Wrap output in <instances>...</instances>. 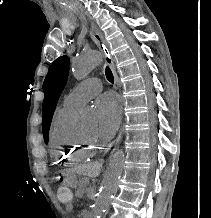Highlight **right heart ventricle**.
I'll list each match as a JSON object with an SVG mask.
<instances>
[{
  "instance_id": "1",
  "label": "right heart ventricle",
  "mask_w": 211,
  "mask_h": 218,
  "mask_svg": "<svg viewBox=\"0 0 211 218\" xmlns=\"http://www.w3.org/2000/svg\"><path fill=\"white\" fill-rule=\"evenodd\" d=\"M77 109L63 106L52 123L51 134L58 144H52L51 151L56 157L55 165H61V169H66V165H81V162L102 153L99 147L93 148L83 142L74 124Z\"/></svg>"
}]
</instances>
